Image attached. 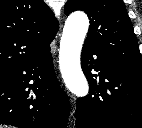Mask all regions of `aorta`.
<instances>
[{"label": "aorta", "instance_id": "obj_1", "mask_svg": "<svg viewBox=\"0 0 142 128\" xmlns=\"http://www.w3.org/2000/svg\"><path fill=\"white\" fill-rule=\"evenodd\" d=\"M89 19L83 12L74 13L65 22L60 42L59 64L66 87L77 97L87 96L88 82L80 64V55Z\"/></svg>", "mask_w": 142, "mask_h": 128}]
</instances>
